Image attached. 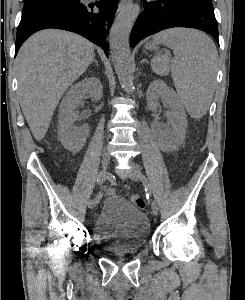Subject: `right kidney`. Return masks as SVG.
Instances as JSON below:
<instances>
[{
  "label": "right kidney",
  "mask_w": 245,
  "mask_h": 300,
  "mask_svg": "<svg viewBox=\"0 0 245 300\" xmlns=\"http://www.w3.org/2000/svg\"><path fill=\"white\" fill-rule=\"evenodd\" d=\"M90 95L94 101H99L103 95V87L98 78H87L73 85L63 98L59 110L58 136L63 146L77 152L86 143L89 134L87 125L76 127V109L82 100Z\"/></svg>",
  "instance_id": "ca27d5eb"
}]
</instances>
